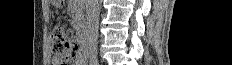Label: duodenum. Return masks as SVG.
<instances>
[{
    "label": "duodenum",
    "instance_id": "obj_1",
    "mask_svg": "<svg viewBox=\"0 0 232 65\" xmlns=\"http://www.w3.org/2000/svg\"><path fill=\"white\" fill-rule=\"evenodd\" d=\"M78 43L81 50L87 52L88 50V36L85 30H81L78 35Z\"/></svg>",
    "mask_w": 232,
    "mask_h": 65
}]
</instances>
